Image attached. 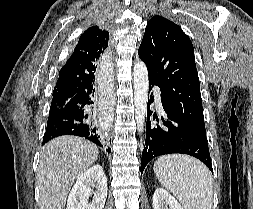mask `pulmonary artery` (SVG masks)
I'll list each match as a JSON object with an SVG mask.
<instances>
[{
  "label": "pulmonary artery",
  "mask_w": 253,
  "mask_h": 209,
  "mask_svg": "<svg viewBox=\"0 0 253 209\" xmlns=\"http://www.w3.org/2000/svg\"><path fill=\"white\" fill-rule=\"evenodd\" d=\"M154 89H155V91L157 93L158 107L161 109L160 98H159V87L158 86H154Z\"/></svg>",
  "instance_id": "1"
}]
</instances>
